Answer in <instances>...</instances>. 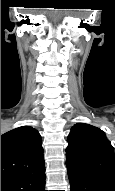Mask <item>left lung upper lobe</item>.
I'll use <instances>...</instances> for the list:
<instances>
[{
	"mask_svg": "<svg viewBox=\"0 0 115 191\" xmlns=\"http://www.w3.org/2000/svg\"><path fill=\"white\" fill-rule=\"evenodd\" d=\"M66 165L77 172L115 182L114 148L104 132L86 123L75 124L68 136Z\"/></svg>",
	"mask_w": 115,
	"mask_h": 191,
	"instance_id": "obj_1",
	"label": "left lung upper lobe"
}]
</instances>
